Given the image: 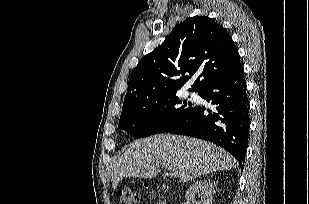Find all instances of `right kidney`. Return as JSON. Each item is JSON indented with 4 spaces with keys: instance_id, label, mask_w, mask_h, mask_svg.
<instances>
[{
    "instance_id": "ca27d5eb",
    "label": "right kidney",
    "mask_w": 309,
    "mask_h": 204,
    "mask_svg": "<svg viewBox=\"0 0 309 204\" xmlns=\"http://www.w3.org/2000/svg\"><path fill=\"white\" fill-rule=\"evenodd\" d=\"M216 184L206 180L195 182L186 191L185 199L187 204H212L213 194L215 192ZM196 196L200 197L199 201H195Z\"/></svg>"
}]
</instances>
